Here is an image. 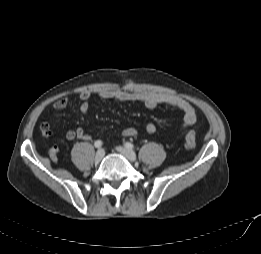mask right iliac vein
<instances>
[{"label": "right iliac vein", "mask_w": 261, "mask_h": 254, "mask_svg": "<svg viewBox=\"0 0 261 254\" xmlns=\"http://www.w3.org/2000/svg\"><path fill=\"white\" fill-rule=\"evenodd\" d=\"M103 157H104V150L99 149L95 154L94 161L96 163H99L103 159Z\"/></svg>", "instance_id": "right-iliac-vein-1"}]
</instances>
